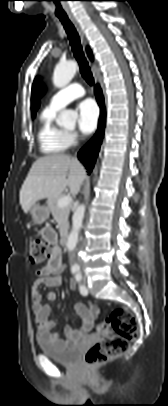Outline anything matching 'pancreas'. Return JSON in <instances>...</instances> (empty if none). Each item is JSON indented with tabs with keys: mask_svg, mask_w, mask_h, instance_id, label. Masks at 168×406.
<instances>
[{
	"mask_svg": "<svg viewBox=\"0 0 168 406\" xmlns=\"http://www.w3.org/2000/svg\"><path fill=\"white\" fill-rule=\"evenodd\" d=\"M63 195H59L54 198H49L47 201L48 208L54 218L58 219L60 221V226H59V232L60 235H64L67 232L68 229V218L71 210V205H68L63 208H59L57 206V202L60 198H62Z\"/></svg>",
	"mask_w": 168,
	"mask_h": 406,
	"instance_id": "pancreas-1",
	"label": "pancreas"
}]
</instances>
